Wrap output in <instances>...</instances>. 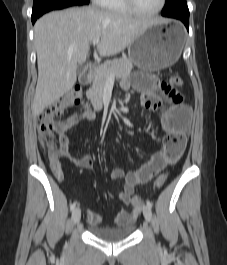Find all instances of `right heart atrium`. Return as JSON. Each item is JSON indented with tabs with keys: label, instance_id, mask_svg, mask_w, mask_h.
Returning a JSON list of instances; mask_svg holds the SVG:
<instances>
[{
	"label": "right heart atrium",
	"instance_id": "obj_1",
	"mask_svg": "<svg viewBox=\"0 0 227 265\" xmlns=\"http://www.w3.org/2000/svg\"><path fill=\"white\" fill-rule=\"evenodd\" d=\"M94 1H95L96 3H98V4L101 2V0H94Z\"/></svg>",
	"mask_w": 227,
	"mask_h": 265
}]
</instances>
